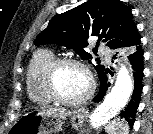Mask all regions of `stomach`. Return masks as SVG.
<instances>
[{"label":"stomach","mask_w":153,"mask_h":134,"mask_svg":"<svg viewBox=\"0 0 153 134\" xmlns=\"http://www.w3.org/2000/svg\"><path fill=\"white\" fill-rule=\"evenodd\" d=\"M88 112L81 108L74 111L52 113L47 109L33 110L23 114L11 127V134H57L67 118L73 128L83 126Z\"/></svg>","instance_id":"1"}]
</instances>
